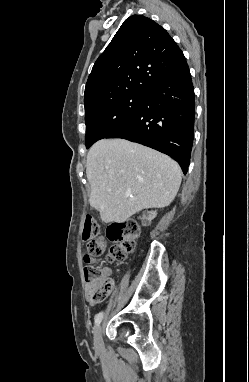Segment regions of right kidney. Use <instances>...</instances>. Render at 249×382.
Instances as JSON below:
<instances>
[{"mask_svg": "<svg viewBox=\"0 0 249 382\" xmlns=\"http://www.w3.org/2000/svg\"><path fill=\"white\" fill-rule=\"evenodd\" d=\"M157 215L156 211H148L147 213H144L142 216V225H147L150 223Z\"/></svg>", "mask_w": 249, "mask_h": 382, "instance_id": "obj_1", "label": "right kidney"}]
</instances>
